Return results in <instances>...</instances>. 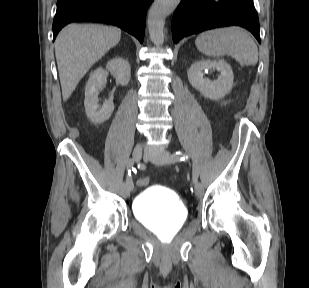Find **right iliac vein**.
I'll use <instances>...</instances> for the list:
<instances>
[{"label":"right iliac vein","mask_w":309,"mask_h":288,"mask_svg":"<svg viewBox=\"0 0 309 288\" xmlns=\"http://www.w3.org/2000/svg\"><path fill=\"white\" fill-rule=\"evenodd\" d=\"M143 153H144L143 148H141L140 146H136L132 152L133 161L135 162L140 161L143 156ZM132 189H133V185H132V188H129L127 187V184H126V189L123 194L125 196H128L130 194V191H132Z\"/></svg>","instance_id":"obj_1"}]
</instances>
